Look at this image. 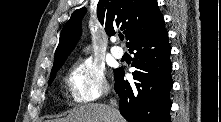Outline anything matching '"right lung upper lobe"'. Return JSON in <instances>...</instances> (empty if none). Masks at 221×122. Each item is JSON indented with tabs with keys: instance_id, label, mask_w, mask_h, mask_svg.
Listing matches in <instances>:
<instances>
[{
	"instance_id": "right-lung-upper-lobe-1",
	"label": "right lung upper lobe",
	"mask_w": 221,
	"mask_h": 122,
	"mask_svg": "<svg viewBox=\"0 0 221 122\" xmlns=\"http://www.w3.org/2000/svg\"><path fill=\"white\" fill-rule=\"evenodd\" d=\"M85 10H76L63 27L51 73L60 69L79 40ZM97 17L108 35H113L115 29L123 31L128 48L164 20L157 0H99Z\"/></svg>"
}]
</instances>
